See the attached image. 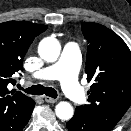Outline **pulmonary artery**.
I'll list each match as a JSON object with an SVG mask.
<instances>
[{
  "label": "pulmonary artery",
  "mask_w": 131,
  "mask_h": 131,
  "mask_svg": "<svg viewBox=\"0 0 131 131\" xmlns=\"http://www.w3.org/2000/svg\"><path fill=\"white\" fill-rule=\"evenodd\" d=\"M80 66V47L75 42L67 43L60 58L53 64L32 74L33 79L59 80L64 92L76 103H85L87 96L81 89L77 74Z\"/></svg>",
  "instance_id": "e3ab8cb5"
}]
</instances>
